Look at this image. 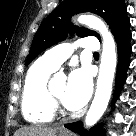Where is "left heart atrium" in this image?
Listing matches in <instances>:
<instances>
[{
  "instance_id": "obj_1",
  "label": "left heart atrium",
  "mask_w": 136,
  "mask_h": 136,
  "mask_svg": "<svg viewBox=\"0 0 136 136\" xmlns=\"http://www.w3.org/2000/svg\"><path fill=\"white\" fill-rule=\"evenodd\" d=\"M92 93V77L87 67L75 68L71 71L62 98L66 107L72 110L82 108Z\"/></svg>"
}]
</instances>
